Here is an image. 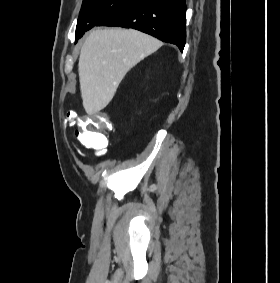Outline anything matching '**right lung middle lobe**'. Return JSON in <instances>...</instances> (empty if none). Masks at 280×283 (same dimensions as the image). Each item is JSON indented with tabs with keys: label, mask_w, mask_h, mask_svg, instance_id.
Segmentation results:
<instances>
[{
	"label": "right lung middle lobe",
	"mask_w": 280,
	"mask_h": 283,
	"mask_svg": "<svg viewBox=\"0 0 280 283\" xmlns=\"http://www.w3.org/2000/svg\"><path fill=\"white\" fill-rule=\"evenodd\" d=\"M133 1L134 0H83L76 26V42L87 30L97 26L105 18Z\"/></svg>",
	"instance_id": "obj_1"
}]
</instances>
